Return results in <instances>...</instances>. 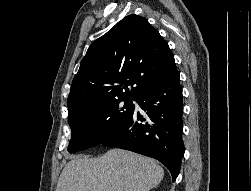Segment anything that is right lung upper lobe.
<instances>
[{"mask_svg":"<svg viewBox=\"0 0 251 191\" xmlns=\"http://www.w3.org/2000/svg\"><path fill=\"white\" fill-rule=\"evenodd\" d=\"M177 73L173 54L159 32L144 17L129 15L88 48L71 85L68 109L135 99ZM128 85L135 86L127 92Z\"/></svg>","mask_w":251,"mask_h":191,"instance_id":"cb5924a9","label":"right lung upper lobe"}]
</instances>
